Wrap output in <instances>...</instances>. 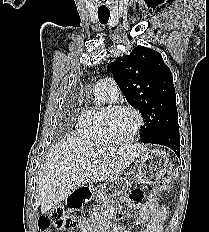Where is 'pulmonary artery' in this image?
Here are the masks:
<instances>
[{"instance_id":"1","label":"pulmonary artery","mask_w":209,"mask_h":232,"mask_svg":"<svg viewBox=\"0 0 209 232\" xmlns=\"http://www.w3.org/2000/svg\"><path fill=\"white\" fill-rule=\"evenodd\" d=\"M95 91L104 93L111 101H115L119 95L117 83L112 77L102 79L96 85Z\"/></svg>"}]
</instances>
